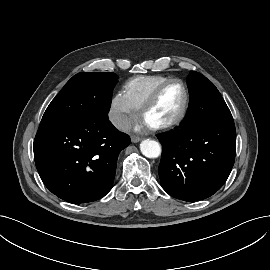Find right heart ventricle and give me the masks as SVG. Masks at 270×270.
<instances>
[{"label": "right heart ventricle", "mask_w": 270, "mask_h": 270, "mask_svg": "<svg viewBox=\"0 0 270 270\" xmlns=\"http://www.w3.org/2000/svg\"><path fill=\"white\" fill-rule=\"evenodd\" d=\"M171 79L162 75L136 76L124 84V93L135 109H140L155 88Z\"/></svg>", "instance_id": "1"}]
</instances>
